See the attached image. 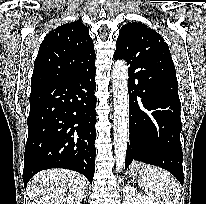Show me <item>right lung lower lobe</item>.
Returning <instances> with one entry per match:
<instances>
[{
    "instance_id": "obj_1",
    "label": "right lung lower lobe",
    "mask_w": 206,
    "mask_h": 204,
    "mask_svg": "<svg viewBox=\"0 0 206 204\" xmlns=\"http://www.w3.org/2000/svg\"><path fill=\"white\" fill-rule=\"evenodd\" d=\"M93 65L76 77L31 89L24 186L48 168L83 174L92 183L95 171L96 102Z\"/></svg>"
}]
</instances>
